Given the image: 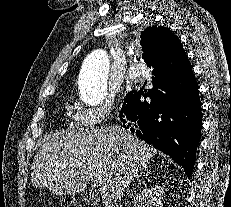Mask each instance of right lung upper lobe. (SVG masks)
I'll return each instance as SVG.
<instances>
[{"instance_id": "cb5924a9", "label": "right lung upper lobe", "mask_w": 231, "mask_h": 207, "mask_svg": "<svg viewBox=\"0 0 231 207\" xmlns=\"http://www.w3.org/2000/svg\"><path fill=\"white\" fill-rule=\"evenodd\" d=\"M141 46L145 63L158 72L190 65L181 42L168 28L154 26L149 36L141 40Z\"/></svg>"}]
</instances>
